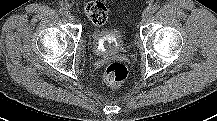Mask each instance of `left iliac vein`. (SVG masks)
<instances>
[{"mask_svg":"<svg viewBox=\"0 0 217 121\" xmlns=\"http://www.w3.org/2000/svg\"><path fill=\"white\" fill-rule=\"evenodd\" d=\"M150 17V11L148 9H145L142 13V20L147 21Z\"/></svg>","mask_w":217,"mask_h":121,"instance_id":"4c4485c4","label":"left iliac vein"}]
</instances>
